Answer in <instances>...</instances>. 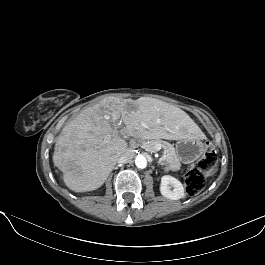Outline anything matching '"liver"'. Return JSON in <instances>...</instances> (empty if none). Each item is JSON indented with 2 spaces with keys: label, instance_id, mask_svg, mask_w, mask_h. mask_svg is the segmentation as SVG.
Masks as SVG:
<instances>
[{
  "label": "liver",
  "instance_id": "1",
  "mask_svg": "<svg viewBox=\"0 0 265 265\" xmlns=\"http://www.w3.org/2000/svg\"><path fill=\"white\" fill-rule=\"evenodd\" d=\"M129 103L107 97L83 110L62 129L55 143L53 162L70 190L93 191L104 184L128 146L114 133L119 118L128 129L138 126L146 138L179 140L203 136L190 116L174 105L139 98L131 111Z\"/></svg>",
  "mask_w": 265,
  "mask_h": 265
}]
</instances>
